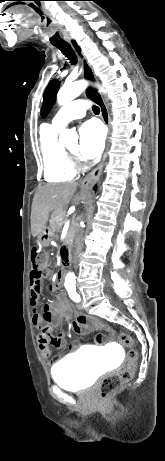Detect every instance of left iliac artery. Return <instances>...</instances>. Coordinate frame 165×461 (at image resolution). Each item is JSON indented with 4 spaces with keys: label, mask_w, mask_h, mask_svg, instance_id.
Listing matches in <instances>:
<instances>
[{
    "label": "left iliac artery",
    "mask_w": 165,
    "mask_h": 461,
    "mask_svg": "<svg viewBox=\"0 0 165 461\" xmlns=\"http://www.w3.org/2000/svg\"><path fill=\"white\" fill-rule=\"evenodd\" d=\"M68 293H69V297L75 301V302H79L80 301V296L78 295V293L76 292V288L75 286H72V287H67L66 288Z\"/></svg>",
    "instance_id": "1"
}]
</instances>
